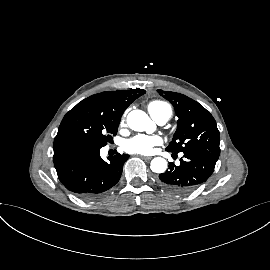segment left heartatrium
I'll use <instances>...</instances> for the list:
<instances>
[{"label":"left heart atrium","instance_id":"1","mask_svg":"<svg viewBox=\"0 0 270 270\" xmlns=\"http://www.w3.org/2000/svg\"><path fill=\"white\" fill-rule=\"evenodd\" d=\"M161 144V138L154 135L138 134L124 142V149L129 153L147 155Z\"/></svg>","mask_w":270,"mask_h":270}]
</instances>
